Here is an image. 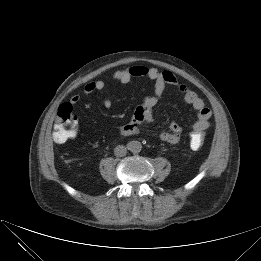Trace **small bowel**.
Instances as JSON below:
<instances>
[{"label":"small bowel","mask_w":261,"mask_h":261,"mask_svg":"<svg viewBox=\"0 0 261 261\" xmlns=\"http://www.w3.org/2000/svg\"><path fill=\"white\" fill-rule=\"evenodd\" d=\"M136 77H148L154 81V93L142 98L141 104L134 111L131 120L120 127V133L123 136L135 135L139 132L141 123H150L154 119V109L163 95L168 85L176 87L183 95L184 100L197 113V119L192 125L193 132L205 131L212 117L211 110L205 105L203 99L193 90L180 83L178 79L169 71H160L155 68H149L142 65H135L125 69L116 70L113 73V79L126 84ZM106 83L103 80L90 81L84 85V93L90 95L94 92H103ZM80 101L78 94L70 98V104L76 105ZM105 108L112 106L110 98L103 99ZM182 129L176 122H172L169 129L160 134V139L170 144H176L180 141Z\"/></svg>","instance_id":"c3829d8e"}]
</instances>
